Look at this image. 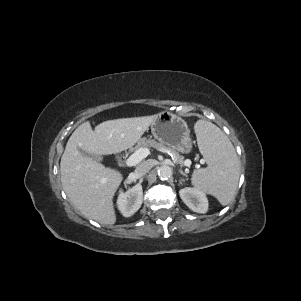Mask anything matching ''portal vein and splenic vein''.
Masks as SVG:
<instances>
[{
  "mask_svg": "<svg viewBox=\"0 0 301 301\" xmlns=\"http://www.w3.org/2000/svg\"><path fill=\"white\" fill-rule=\"evenodd\" d=\"M149 154H150V150L148 148H140L137 151H135L131 156H129V158L126 160V165L128 167L134 166L139 162H141Z\"/></svg>",
  "mask_w": 301,
  "mask_h": 301,
  "instance_id": "18ae733b",
  "label": "portal vein and splenic vein"
}]
</instances>
